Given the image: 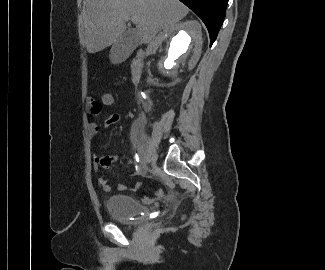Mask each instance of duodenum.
Segmentation results:
<instances>
[{"label": "duodenum", "mask_w": 325, "mask_h": 270, "mask_svg": "<svg viewBox=\"0 0 325 270\" xmlns=\"http://www.w3.org/2000/svg\"><path fill=\"white\" fill-rule=\"evenodd\" d=\"M144 68V52L139 50L131 63V74L133 83H138L143 73Z\"/></svg>", "instance_id": "duodenum-1"}]
</instances>
